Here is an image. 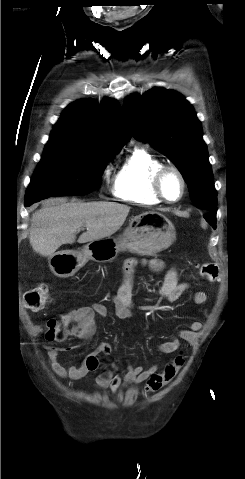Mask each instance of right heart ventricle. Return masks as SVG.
I'll return each instance as SVG.
<instances>
[{
	"label": "right heart ventricle",
	"mask_w": 245,
	"mask_h": 479,
	"mask_svg": "<svg viewBox=\"0 0 245 479\" xmlns=\"http://www.w3.org/2000/svg\"><path fill=\"white\" fill-rule=\"evenodd\" d=\"M164 165L161 159L145 147H136L119 168L113 185L114 195L124 201L156 205L161 200L154 193L155 172Z\"/></svg>",
	"instance_id": "1"
}]
</instances>
